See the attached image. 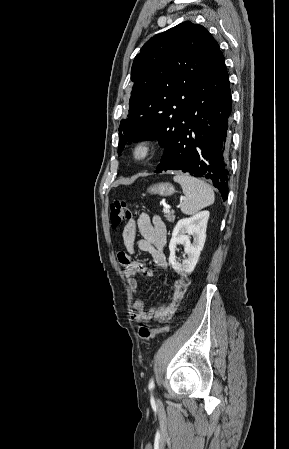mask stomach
I'll return each instance as SVG.
<instances>
[{
	"label": "stomach",
	"instance_id": "stomach-1",
	"mask_svg": "<svg viewBox=\"0 0 289 449\" xmlns=\"http://www.w3.org/2000/svg\"><path fill=\"white\" fill-rule=\"evenodd\" d=\"M148 192L151 194H159L162 196H169L175 192V189L170 183H158L150 186Z\"/></svg>",
	"mask_w": 289,
	"mask_h": 449
}]
</instances>
